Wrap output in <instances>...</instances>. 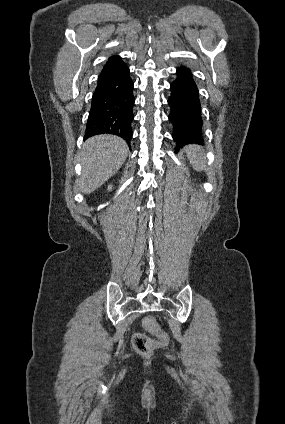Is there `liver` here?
<instances>
[{
  "instance_id": "obj_1",
  "label": "liver",
  "mask_w": 285,
  "mask_h": 424,
  "mask_svg": "<svg viewBox=\"0 0 285 424\" xmlns=\"http://www.w3.org/2000/svg\"><path fill=\"white\" fill-rule=\"evenodd\" d=\"M128 153L126 142L115 135L89 138L82 149V176L79 181L85 194L95 191L123 165Z\"/></svg>"
}]
</instances>
